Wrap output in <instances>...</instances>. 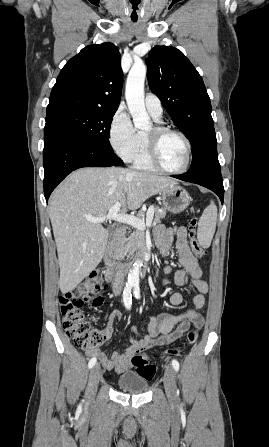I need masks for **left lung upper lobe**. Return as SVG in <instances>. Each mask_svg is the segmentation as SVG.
Masks as SVG:
<instances>
[{
  "instance_id": "1",
  "label": "left lung upper lobe",
  "mask_w": 269,
  "mask_h": 447,
  "mask_svg": "<svg viewBox=\"0 0 269 447\" xmlns=\"http://www.w3.org/2000/svg\"><path fill=\"white\" fill-rule=\"evenodd\" d=\"M146 62L149 88L192 145V165L185 174L200 177L220 172L211 103L202 77L174 47H154Z\"/></svg>"
}]
</instances>
